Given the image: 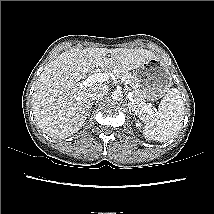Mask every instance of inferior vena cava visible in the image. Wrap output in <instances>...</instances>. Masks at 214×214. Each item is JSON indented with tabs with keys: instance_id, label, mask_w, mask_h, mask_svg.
<instances>
[{
	"instance_id": "602c4592",
	"label": "inferior vena cava",
	"mask_w": 214,
	"mask_h": 214,
	"mask_svg": "<svg viewBox=\"0 0 214 214\" xmlns=\"http://www.w3.org/2000/svg\"><path fill=\"white\" fill-rule=\"evenodd\" d=\"M108 93V86L105 84H100L92 88L90 92V100L95 101L101 99Z\"/></svg>"
}]
</instances>
